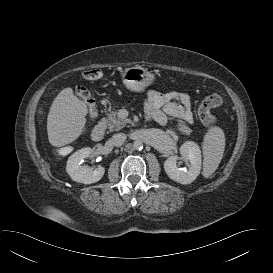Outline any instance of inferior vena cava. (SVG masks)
Returning <instances> with one entry per match:
<instances>
[{"label": "inferior vena cava", "instance_id": "inferior-vena-cava-1", "mask_svg": "<svg viewBox=\"0 0 273 273\" xmlns=\"http://www.w3.org/2000/svg\"><path fill=\"white\" fill-rule=\"evenodd\" d=\"M127 136L124 133L114 134L111 138V142L114 146H122L126 141Z\"/></svg>", "mask_w": 273, "mask_h": 273}]
</instances>
